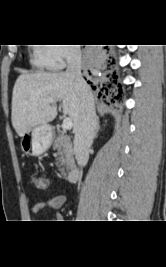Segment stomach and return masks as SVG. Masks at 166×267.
<instances>
[{
    "label": "stomach",
    "mask_w": 166,
    "mask_h": 267,
    "mask_svg": "<svg viewBox=\"0 0 166 267\" xmlns=\"http://www.w3.org/2000/svg\"><path fill=\"white\" fill-rule=\"evenodd\" d=\"M53 137L50 125L37 126L21 137V149L27 155L40 156L50 148Z\"/></svg>",
    "instance_id": "0dacf381"
}]
</instances>
